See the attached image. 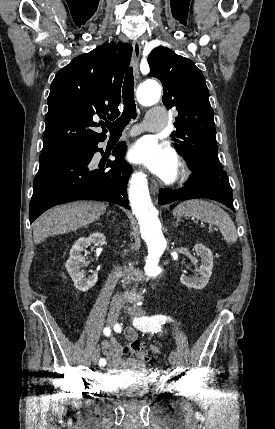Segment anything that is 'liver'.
<instances>
[{"label":"liver","instance_id":"6515ba94","mask_svg":"<svg viewBox=\"0 0 275 429\" xmlns=\"http://www.w3.org/2000/svg\"><path fill=\"white\" fill-rule=\"evenodd\" d=\"M107 205L99 202H74L56 206L45 212L33 223V237L36 244L48 236L77 230L98 219Z\"/></svg>","mask_w":275,"mask_h":429}]
</instances>
